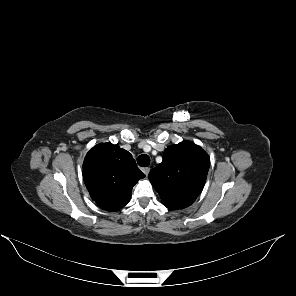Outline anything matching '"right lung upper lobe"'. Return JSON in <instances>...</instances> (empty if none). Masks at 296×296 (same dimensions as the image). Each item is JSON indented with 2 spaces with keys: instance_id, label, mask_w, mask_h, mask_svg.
<instances>
[{
  "instance_id": "1",
  "label": "right lung upper lobe",
  "mask_w": 296,
  "mask_h": 296,
  "mask_svg": "<svg viewBox=\"0 0 296 296\" xmlns=\"http://www.w3.org/2000/svg\"><path fill=\"white\" fill-rule=\"evenodd\" d=\"M144 177L132 155L117 144H98L84 159V183L91 198L103 210L116 211L124 207L133 186Z\"/></svg>"
}]
</instances>
